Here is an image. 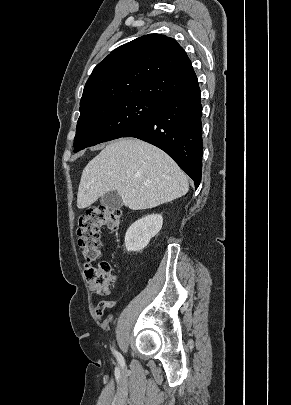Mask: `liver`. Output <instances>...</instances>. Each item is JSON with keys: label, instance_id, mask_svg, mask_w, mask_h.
<instances>
[{"label": "liver", "instance_id": "6515ba94", "mask_svg": "<svg viewBox=\"0 0 291 405\" xmlns=\"http://www.w3.org/2000/svg\"><path fill=\"white\" fill-rule=\"evenodd\" d=\"M189 190L186 175L159 148L136 138L109 143L84 168L77 207L84 209L110 191H117L131 210L171 202Z\"/></svg>", "mask_w": 291, "mask_h": 405}]
</instances>
